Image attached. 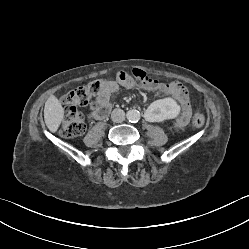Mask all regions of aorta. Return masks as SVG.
I'll return each mask as SVG.
<instances>
[{
    "label": "aorta",
    "mask_w": 249,
    "mask_h": 249,
    "mask_svg": "<svg viewBox=\"0 0 249 249\" xmlns=\"http://www.w3.org/2000/svg\"><path fill=\"white\" fill-rule=\"evenodd\" d=\"M126 116L130 122H138L140 120V112L136 109L129 110Z\"/></svg>",
    "instance_id": "obj_1"
}]
</instances>
